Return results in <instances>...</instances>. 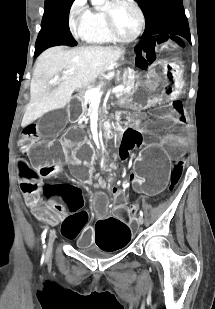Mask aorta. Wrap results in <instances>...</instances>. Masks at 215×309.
<instances>
[{"label": "aorta", "mask_w": 215, "mask_h": 309, "mask_svg": "<svg viewBox=\"0 0 215 309\" xmlns=\"http://www.w3.org/2000/svg\"><path fill=\"white\" fill-rule=\"evenodd\" d=\"M92 4H99L100 8H105L108 6L109 0H91Z\"/></svg>", "instance_id": "762f6f07"}]
</instances>
